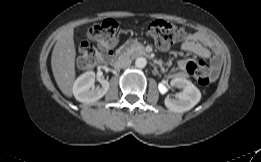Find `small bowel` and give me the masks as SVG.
Returning a JSON list of instances; mask_svg holds the SVG:
<instances>
[{
  "label": "small bowel",
  "instance_id": "c3829d8e",
  "mask_svg": "<svg viewBox=\"0 0 261 162\" xmlns=\"http://www.w3.org/2000/svg\"><path fill=\"white\" fill-rule=\"evenodd\" d=\"M203 36L198 33L189 34L181 44V49L185 52H190L203 59L209 60L214 71H217L220 60L215 56L210 49L201 43ZM191 60H180L178 66L180 69H189Z\"/></svg>",
  "mask_w": 261,
  "mask_h": 162
}]
</instances>
